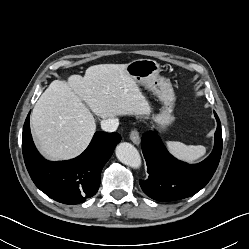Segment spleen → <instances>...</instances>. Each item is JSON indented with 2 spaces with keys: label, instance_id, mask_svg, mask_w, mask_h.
Instances as JSON below:
<instances>
[{
  "label": "spleen",
  "instance_id": "3e777b00",
  "mask_svg": "<svg viewBox=\"0 0 249 249\" xmlns=\"http://www.w3.org/2000/svg\"><path fill=\"white\" fill-rule=\"evenodd\" d=\"M168 151L177 159L193 163L206 153V147L202 145H185L181 142L166 141Z\"/></svg>",
  "mask_w": 249,
  "mask_h": 249
}]
</instances>
